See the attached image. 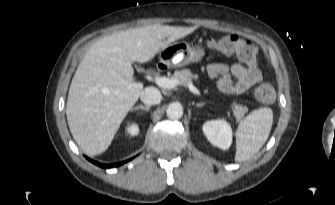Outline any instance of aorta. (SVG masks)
Listing matches in <instances>:
<instances>
[{
    "mask_svg": "<svg viewBox=\"0 0 335 205\" xmlns=\"http://www.w3.org/2000/svg\"><path fill=\"white\" fill-rule=\"evenodd\" d=\"M166 115L172 120L180 119L183 115V107L178 102H173L168 105L166 109Z\"/></svg>",
    "mask_w": 335,
    "mask_h": 205,
    "instance_id": "obj_1",
    "label": "aorta"
}]
</instances>
